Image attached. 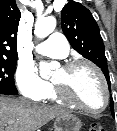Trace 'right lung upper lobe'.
Here are the masks:
<instances>
[{"label": "right lung upper lobe", "mask_w": 117, "mask_h": 131, "mask_svg": "<svg viewBox=\"0 0 117 131\" xmlns=\"http://www.w3.org/2000/svg\"><path fill=\"white\" fill-rule=\"evenodd\" d=\"M21 17L15 0H0V54L17 56V31Z\"/></svg>", "instance_id": "obj_1"}]
</instances>
